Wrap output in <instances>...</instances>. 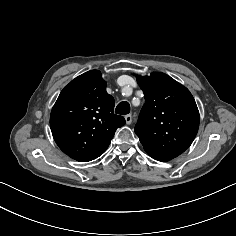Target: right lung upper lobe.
I'll return each mask as SVG.
<instances>
[{
    "label": "right lung upper lobe",
    "instance_id": "obj_1",
    "mask_svg": "<svg viewBox=\"0 0 236 236\" xmlns=\"http://www.w3.org/2000/svg\"><path fill=\"white\" fill-rule=\"evenodd\" d=\"M124 124V117L114 114V99L106 92L98 70L88 71L65 86L50 115L55 142L81 162L101 156L116 129Z\"/></svg>",
    "mask_w": 236,
    "mask_h": 236
}]
</instances>
